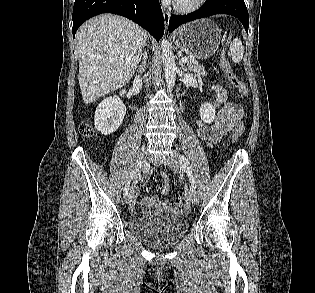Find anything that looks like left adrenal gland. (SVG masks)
Segmentation results:
<instances>
[{
    "instance_id": "obj_1",
    "label": "left adrenal gland",
    "mask_w": 315,
    "mask_h": 293,
    "mask_svg": "<svg viewBox=\"0 0 315 293\" xmlns=\"http://www.w3.org/2000/svg\"><path fill=\"white\" fill-rule=\"evenodd\" d=\"M179 65L181 66V68L184 70V71H188L187 68L185 67V65L180 61L179 62Z\"/></svg>"
}]
</instances>
